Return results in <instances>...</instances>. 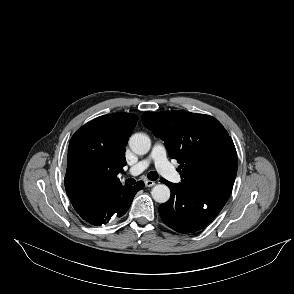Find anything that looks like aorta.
I'll list each match as a JSON object with an SVG mask.
<instances>
[{
    "instance_id": "obj_1",
    "label": "aorta",
    "mask_w": 294,
    "mask_h": 294,
    "mask_svg": "<svg viewBox=\"0 0 294 294\" xmlns=\"http://www.w3.org/2000/svg\"><path fill=\"white\" fill-rule=\"evenodd\" d=\"M129 146L138 155H145L151 147L150 138L143 133H137L130 137ZM152 198L158 203H165L170 198V189L165 184H158L151 191Z\"/></svg>"
}]
</instances>
